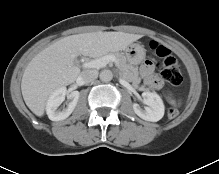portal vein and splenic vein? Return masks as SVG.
I'll use <instances>...</instances> for the list:
<instances>
[{
  "label": "portal vein and splenic vein",
  "instance_id": "obj_1",
  "mask_svg": "<svg viewBox=\"0 0 219 174\" xmlns=\"http://www.w3.org/2000/svg\"><path fill=\"white\" fill-rule=\"evenodd\" d=\"M109 62H114L117 64V60L113 55H106L101 58L92 60L90 62L83 63L84 68H101L105 67Z\"/></svg>",
  "mask_w": 219,
  "mask_h": 174
}]
</instances>
